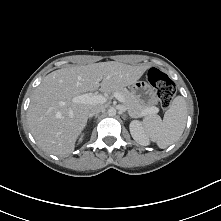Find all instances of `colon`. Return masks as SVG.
<instances>
[{
    "label": "colon",
    "mask_w": 221,
    "mask_h": 221,
    "mask_svg": "<svg viewBox=\"0 0 221 221\" xmlns=\"http://www.w3.org/2000/svg\"><path fill=\"white\" fill-rule=\"evenodd\" d=\"M149 83L156 89L160 105L168 109L175 97L176 88L174 82L161 70L151 68L147 75Z\"/></svg>",
    "instance_id": "1"
}]
</instances>
